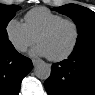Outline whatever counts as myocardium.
<instances>
[{"instance_id":"myocardium-1","label":"myocardium","mask_w":95,"mask_h":95,"mask_svg":"<svg viewBox=\"0 0 95 95\" xmlns=\"http://www.w3.org/2000/svg\"><path fill=\"white\" fill-rule=\"evenodd\" d=\"M62 23H71L74 26L75 38H74V41H73L72 45L70 46V48L66 52H64L63 54L56 56V57L47 56L49 60L55 61V62L62 61L64 59L68 58L76 49V47L79 43V40H80V26H79V24L74 19L62 18V19L50 24L49 26H47L36 37V42L39 43V40L41 37L50 34L52 31H54Z\"/></svg>"}]
</instances>
